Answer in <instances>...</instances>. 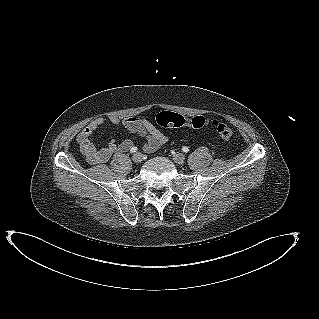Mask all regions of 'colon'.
<instances>
[{"label":"colon","mask_w":319,"mask_h":319,"mask_svg":"<svg viewBox=\"0 0 319 319\" xmlns=\"http://www.w3.org/2000/svg\"><path fill=\"white\" fill-rule=\"evenodd\" d=\"M156 122L160 126L166 128H178L187 125L189 127L198 129L210 124L222 139L230 140L234 137L233 130L227 124L219 120L209 121L204 116H197L186 120L184 116L178 113L171 111H162L157 114Z\"/></svg>","instance_id":"5ec220e1"}]
</instances>
